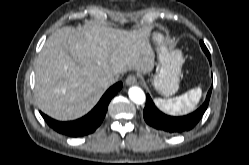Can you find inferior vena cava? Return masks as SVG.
I'll return each mask as SVG.
<instances>
[{
	"label": "inferior vena cava",
	"mask_w": 249,
	"mask_h": 165,
	"mask_svg": "<svg viewBox=\"0 0 249 165\" xmlns=\"http://www.w3.org/2000/svg\"><path fill=\"white\" fill-rule=\"evenodd\" d=\"M119 79V76H114V75H108L103 78V84L106 87H109L110 85L116 83Z\"/></svg>",
	"instance_id": "602c4592"
}]
</instances>
